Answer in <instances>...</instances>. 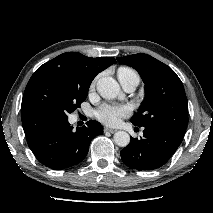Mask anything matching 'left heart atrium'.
Masks as SVG:
<instances>
[{
  "label": "left heart atrium",
  "mask_w": 213,
  "mask_h": 213,
  "mask_svg": "<svg viewBox=\"0 0 213 213\" xmlns=\"http://www.w3.org/2000/svg\"><path fill=\"white\" fill-rule=\"evenodd\" d=\"M130 114L126 105L103 104L96 111V118L107 125H117L123 117Z\"/></svg>",
  "instance_id": "left-heart-atrium-1"
}]
</instances>
